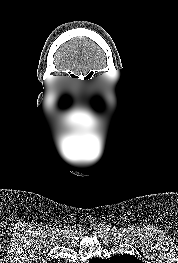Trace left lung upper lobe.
Segmentation results:
<instances>
[{
  "instance_id": "5c2ea615",
  "label": "left lung upper lobe",
  "mask_w": 178,
  "mask_h": 263,
  "mask_svg": "<svg viewBox=\"0 0 178 263\" xmlns=\"http://www.w3.org/2000/svg\"><path fill=\"white\" fill-rule=\"evenodd\" d=\"M90 263H143L133 255H114L110 259L93 258Z\"/></svg>"
}]
</instances>
